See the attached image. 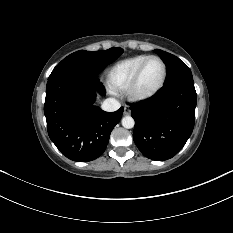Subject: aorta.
Here are the masks:
<instances>
[{"label": "aorta", "mask_w": 233, "mask_h": 233, "mask_svg": "<svg viewBox=\"0 0 233 233\" xmlns=\"http://www.w3.org/2000/svg\"><path fill=\"white\" fill-rule=\"evenodd\" d=\"M134 119L131 116H125L122 118V126L126 129H131L134 127Z\"/></svg>", "instance_id": "1"}]
</instances>
